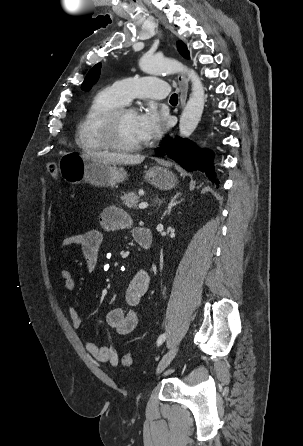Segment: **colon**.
I'll use <instances>...</instances> for the list:
<instances>
[{
    "mask_svg": "<svg viewBox=\"0 0 303 446\" xmlns=\"http://www.w3.org/2000/svg\"><path fill=\"white\" fill-rule=\"evenodd\" d=\"M50 174L54 177V178H58L59 177V170L57 168V166L54 163H49L48 165ZM121 364L123 366L129 367L132 364V355L127 352L124 353L121 357Z\"/></svg>",
    "mask_w": 303,
    "mask_h": 446,
    "instance_id": "obj_1",
    "label": "colon"
}]
</instances>
